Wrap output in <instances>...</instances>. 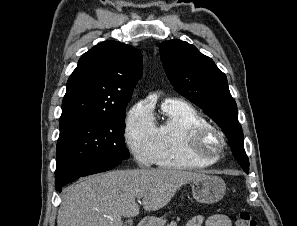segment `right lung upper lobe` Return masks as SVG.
Returning a JSON list of instances; mask_svg holds the SVG:
<instances>
[{
    "label": "right lung upper lobe",
    "instance_id": "1",
    "mask_svg": "<svg viewBox=\"0 0 297 226\" xmlns=\"http://www.w3.org/2000/svg\"><path fill=\"white\" fill-rule=\"evenodd\" d=\"M142 75V55L130 45L102 42L84 53L67 82L61 120L125 112Z\"/></svg>",
    "mask_w": 297,
    "mask_h": 226
}]
</instances>
